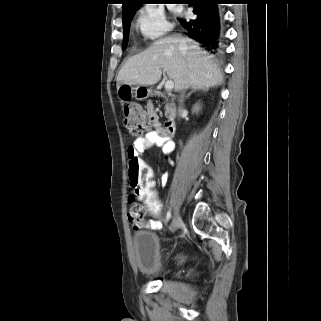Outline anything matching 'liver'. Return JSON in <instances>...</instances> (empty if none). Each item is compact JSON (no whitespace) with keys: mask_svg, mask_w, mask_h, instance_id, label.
Here are the masks:
<instances>
[{"mask_svg":"<svg viewBox=\"0 0 321 321\" xmlns=\"http://www.w3.org/2000/svg\"><path fill=\"white\" fill-rule=\"evenodd\" d=\"M182 40L184 50L179 48ZM162 69L173 80L176 91L182 89L185 80L191 88L215 87L223 81L218 66L196 41L168 36L127 60L117 76V89L124 84L154 85L160 80Z\"/></svg>","mask_w":321,"mask_h":321,"instance_id":"liver-1","label":"liver"}]
</instances>
